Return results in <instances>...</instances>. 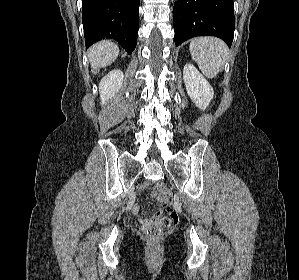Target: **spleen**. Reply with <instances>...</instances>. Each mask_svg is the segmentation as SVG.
<instances>
[{"label": "spleen", "instance_id": "3e777b00", "mask_svg": "<svg viewBox=\"0 0 299 280\" xmlns=\"http://www.w3.org/2000/svg\"><path fill=\"white\" fill-rule=\"evenodd\" d=\"M189 49L193 60L207 78H213L222 71L228 57L226 44L214 37L193 39Z\"/></svg>", "mask_w": 299, "mask_h": 280}]
</instances>
